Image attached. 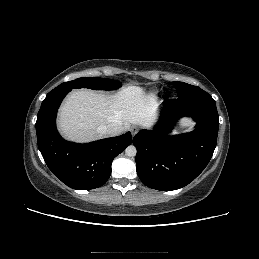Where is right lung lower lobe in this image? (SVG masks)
Instances as JSON below:
<instances>
[{"instance_id":"1","label":"right lung lower lobe","mask_w":259,"mask_h":259,"mask_svg":"<svg viewBox=\"0 0 259 259\" xmlns=\"http://www.w3.org/2000/svg\"><path fill=\"white\" fill-rule=\"evenodd\" d=\"M48 93L37 115L39 150L54 175L67 186L90 190L104 185L111 175L113 159L132 142L130 132L88 144L65 141L56 129L58 107L69 92Z\"/></svg>"}]
</instances>
